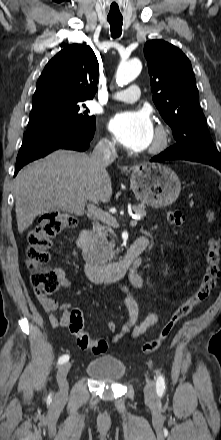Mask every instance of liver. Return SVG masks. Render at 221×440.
Masks as SVG:
<instances>
[{
	"mask_svg": "<svg viewBox=\"0 0 221 440\" xmlns=\"http://www.w3.org/2000/svg\"><path fill=\"white\" fill-rule=\"evenodd\" d=\"M14 192L17 226L22 234L38 215L65 211L82 216L87 201L108 203L112 183L107 171H96L89 155L57 150L19 171Z\"/></svg>",
	"mask_w": 221,
	"mask_h": 440,
	"instance_id": "1",
	"label": "liver"
}]
</instances>
